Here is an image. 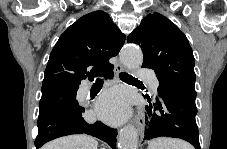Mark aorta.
I'll list each match as a JSON object with an SVG mask.
<instances>
[{"label":"aorta","mask_w":227,"mask_h":149,"mask_svg":"<svg viewBox=\"0 0 227 149\" xmlns=\"http://www.w3.org/2000/svg\"><path fill=\"white\" fill-rule=\"evenodd\" d=\"M121 62L128 68H137L143 62V54L136 46H126L120 53ZM119 149H138V132L132 125L125 126L119 134Z\"/></svg>","instance_id":"762f6f07"}]
</instances>
